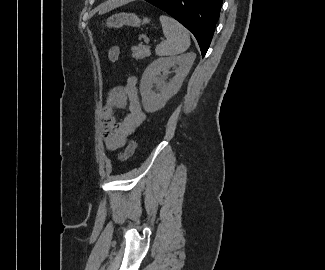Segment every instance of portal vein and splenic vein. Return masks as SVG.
Here are the masks:
<instances>
[{"instance_id": "18ae733b", "label": "portal vein and splenic vein", "mask_w": 325, "mask_h": 270, "mask_svg": "<svg viewBox=\"0 0 325 270\" xmlns=\"http://www.w3.org/2000/svg\"><path fill=\"white\" fill-rule=\"evenodd\" d=\"M145 42H146V43H149V42H150V40L147 38V39H145Z\"/></svg>"}]
</instances>
